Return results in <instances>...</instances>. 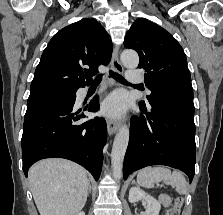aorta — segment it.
<instances>
[{
	"mask_svg": "<svg viewBox=\"0 0 223 215\" xmlns=\"http://www.w3.org/2000/svg\"><path fill=\"white\" fill-rule=\"evenodd\" d=\"M121 62L125 68H137L139 64V56L134 50H124L121 54ZM128 141L129 127H127V125H121L115 135L111 151L112 173L116 181H119L122 177V163Z\"/></svg>",
	"mask_w": 223,
	"mask_h": 215,
	"instance_id": "762f6f07",
	"label": "aorta"
}]
</instances>
